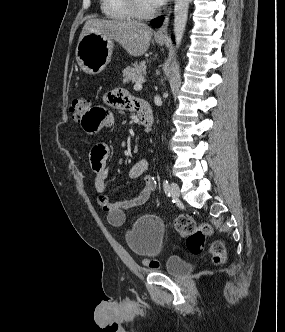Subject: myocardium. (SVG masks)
Listing matches in <instances>:
<instances>
[{"label":"myocardium","instance_id":"1","mask_svg":"<svg viewBox=\"0 0 285 332\" xmlns=\"http://www.w3.org/2000/svg\"><path fill=\"white\" fill-rule=\"evenodd\" d=\"M130 13L137 19H149L156 14V9L145 10L141 7L139 0H126Z\"/></svg>","mask_w":285,"mask_h":332}]
</instances>
